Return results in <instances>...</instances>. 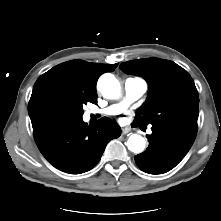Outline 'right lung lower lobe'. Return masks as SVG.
Returning a JSON list of instances; mask_svg holds the SVG:
<instances>
[{"label": "right lung lower lobe", "mask_w": 221, "mask_h": 221, "mask_svg": "<svg viewBox=\"0 0 221 221\" xmlns=\"http://www.w3.org/2000/svg\"><path fill=\"white\" fill-rule=\"evenodd\" d=\"M121 134L119 125L104 117L93 126L82 118H59L33 131L43 156L57 169L80 174L101 159L107 143Z\"/></svg>", "instance_id": "right-lung-lower-lobe-1"}]
</instances>
